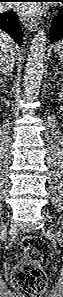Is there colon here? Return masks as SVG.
<instances>
[{
  "instance_id": "colon-1",
  "label": "colon",
  "mask_w": 63,
  "mask_h": 297,
  "mask_svg": "<svg viewBox=\"0 0 63 297\" xmlns=\"http://www.w3.org/2000/svg\"><path fill=\"white\" fill-rule=\"evenodd\" d=\"M23 262L15 272L13 284L26 297H41L46 287L43 268L48 264L50 251L44 240L28 236L20 243Z\"/></svg>"
}]
</instances>
